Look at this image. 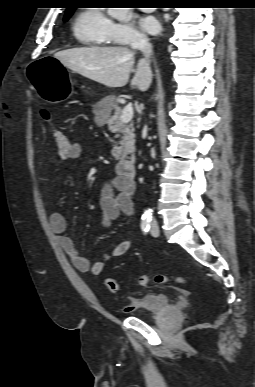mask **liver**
Listing matches in <instances>:
<instances>
[{
    "label": "liver",
    "mask_w": 255,
    "mask_h": 387,
    "mask_svg": "<svg viewBox=\"0 0 255 387\" xmlns=\"http://www.w3.org/2000/svg\"><path fill=\"white\" fill-rule=\"evenodd\" d=\"M54 58L72 71L110 88L125 86L135 64V52L123 46L67 49L55 53ZM151 81V69L145 59H139L130 85L144 91Z\"/></svg>",
    "instance_id": "liver-1"
}]
</instances>
